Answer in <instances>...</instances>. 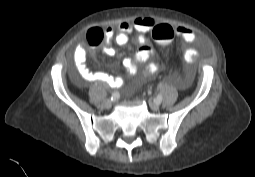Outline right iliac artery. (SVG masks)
Masks as SVG:
<instances>
[{
  "label": "right iliac artery",
  "mask_w": 255,
  "mask_h": 177,
  "mask_svg": "<svg viewBox=\"0 0 255 177\" xmlns=\"http://www.w3.org/2000/svg\"><path fill=\"white\" fill-rule=\"evenodd\" d=\"M120 95L118 92H114L112 93V96H111V100H117L119 99Z\"/></svg>",
  "instance_id": "1"
}]
</instances>
